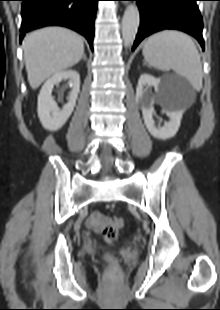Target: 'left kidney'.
Masks as SVG:
<instances>
[{"label":"left kidney","mask_w":220,"mask_h":310,"mask_svg":"<svg viewBox=\"0 0 220 310\" xmlns=\"http://www.w3.org/2000/svg\"><path fill=\"white\" fill-rule=\"evenodd\" d=\"M153 86L156 95L149 97L147 88ZM171 89L170 83L159 78H155L149 74H142L136 88V99L141 106L144 123L150 134L158 139L166 140L174 137L180 127V122L183 115V110L173 109L166 106V114L170 118L169 122L164 123V126L156 127L152 118L154 113L153 104L157 101L165 104Z\"/></svg>","instance_id":"1"}]
</instances>
